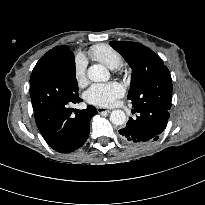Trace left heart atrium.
Here are the masks:
<instances>
[{"mask_svg": "<svg viewBox=\"0 0 205 205\" xmlns=\"http://www.w3.org/2000/svg\"><path fill=\"white\" fill-rule=\"evenodd\" d=\"M124 94V89L117 82L92 85L85 93V99L90 104L100 107H112Z\"/></svg>", "mask_w": 205, "mask_h": 205, "instance_id": "39dd6f15", "label": "left heart atrium"}]
</instances>
